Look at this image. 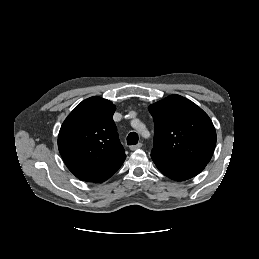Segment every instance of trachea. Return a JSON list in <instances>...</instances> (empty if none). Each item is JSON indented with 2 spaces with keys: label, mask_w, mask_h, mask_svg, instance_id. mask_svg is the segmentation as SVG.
<instances>
[{
  "label": "trachea",
  "mask_w": 259,
  "mask_h": 259,
  "mask_svg": "<svg viewBox=\"0 0 259 259\" xmlns=\"http://www.w3.org/2000/svg\"><path fill=\"white\" fill-rule=\"evenodd\" d=\"M138 134L136 132H130L127 136L128 145H136L138 143Z\"/></svg>",
  "instance_id": "obj_1"
}]
</instances>
